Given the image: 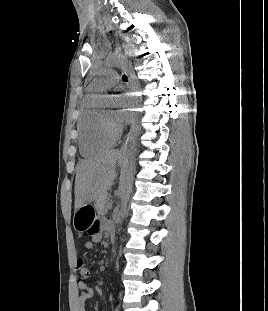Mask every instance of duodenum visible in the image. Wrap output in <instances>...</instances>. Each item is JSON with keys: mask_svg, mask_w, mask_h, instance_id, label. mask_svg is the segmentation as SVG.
Returning a JSON list of instances; mask_svg holds the SVG:
<instances>
[{"mask_svg": "<svg viewBox=\"0 0 268 311\" xmlns=\"http://www.w3.org/2000/svg\"><path fill=\"white\" fill-rule=\"evenodd\" d=\"M110 238H111L112 241L115 240V238H116V234H115V230L114 229H112L110 231Z\"/></svg>", "mask_w": 268, "mask_h": 311, "instance_id": "1", "label": "duodenum"}]
</instances>
